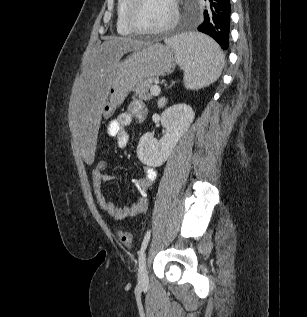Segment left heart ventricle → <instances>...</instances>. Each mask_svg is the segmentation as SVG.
Returning a JSON list of instances; mask_svg holds the SVG:
<instances>
[{
    "label": "left heart ventricle",
    "instance_id": "b2bd125f",
    "mask_svg": "<svg viewBox=\"0 0 307 317\" xmlns=\"http://www.w3.org/2000/svg\"><path fill=\"white\" fill-rule=\"evenodd\" d=\"M172 15L170 0H140L135 9V19L144 28H158Z\"/></svg>",
    "mask_w": 307,
    "mask_h": 317
}]
</instances>
